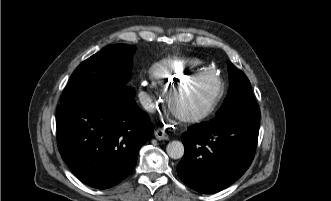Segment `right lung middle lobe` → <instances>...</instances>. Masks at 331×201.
<instances>
[{"label": "right lung middle lobe", "mask_w": 331, "mask_h": 201, "mask_svg": "<svg viewBox=\"0 0 331 201\" xmlns=\"http://www.w3.org/2000/svg\"><path fill=\"white\" fill-rule=\"evenodd\" d=\"M134 46L109 45L82 62L73 72L63 93L61 105L112 88L128 86Z\"/></svg>", "instance_id": "dd1d6c3e"}]
</instances>
